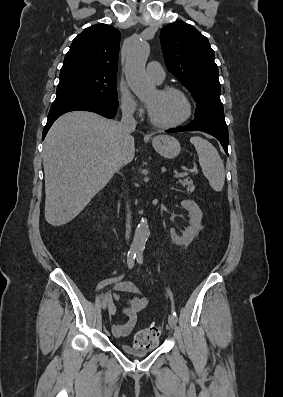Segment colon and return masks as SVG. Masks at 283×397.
<instances>
[{
  "label": "colon",
  "mask_w": 283,
  "mask_h": 397,
  "mask_svg": "<svg viewBox=\"0 0 283 397\" xmlns=\"http://www.w3.org/2000/svg\"><path fill=\"white\" fill-rule=\"evenodd\" d=\"M160 335V327L152 325L135 334L134 345L138 348H148L157 342Z\"/></svg>",
  "instance_id": "colon-1"
}]
</instances>
